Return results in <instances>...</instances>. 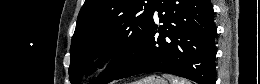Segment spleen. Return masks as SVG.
<instances>
[{"mask_svg": "<svg viewBox=\"0 0 260 84\" xmlns=\"http://www.w3.org/2000/svg\"><path fill=\"white\" fill-rule=\"evenodd\" d=\"M165 78L169 79L171 84H191L188 80L183 79V78H177L172 75L164 74L163 75Z\"/></svg>", "mask_w": 260, "mask_h": 84, "instance_id": "3e777b00", "label": "spleen"}]
</instances>
